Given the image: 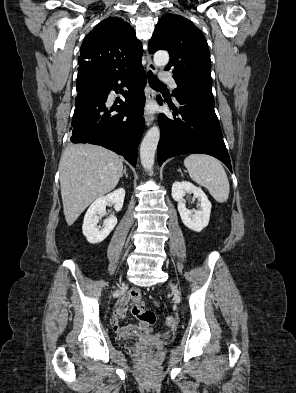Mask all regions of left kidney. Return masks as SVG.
I'll return each mask as SVG.
<instances>
[{
  "instance_id": "1",
  "label": "left kidney",
  "mask_w": 296,
  "mask_h": 393,
  "mask_svg": "<svg viewBox=\"0 0 296 393\" xmlns=\"http://www.w3.org/2000/svg\"><path fill=\"white\" fill-rule=\"evenodd\" d=\"M186 193H193L194 197L200 201L199 210L191 211L186 208L183 198ZM172 197L178 202V211L186 227L200 232L208 225L212 205L200 187L186 181L175 182L172 185Z\"/></svg>"
}]
</instances>
